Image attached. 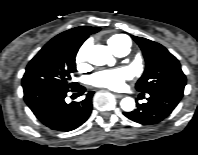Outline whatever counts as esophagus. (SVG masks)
Listing matches in <instances>:
<instances>
[{"label":"esophagus","instance_id":"34e87169","mask_svg":"<svg viewBox=\"0 0 198 155\" xmlns=\"http://www.w3.org/2000/svg\"><path fill=\"white\" fill-rule=\"evenodd\" d=\"M114 95H115L116 98H119V99L124 97L123 94H114Z\"/></svg>","mask_w":198,"mask_h":155}]
</instances>
